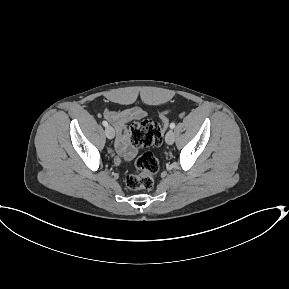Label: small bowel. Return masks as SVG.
<instances>
[{
    "label": "small bowel",
    "instance_id": "1",
    "mask_svg": "<svg viewBox=\"0 0 289 289\" xmlns=\"http://www.w3.org/2000/svg\"><path fill=\"white\" fill-rule=\"evenodd\" d=\"M145 116L146 112L140 107H131L121 111L106 110L104 113V117L113 124L117 132L116 152L125 159H131L136 154V149L129 144L128 124Z\"/></svg>",
    "mask_w": 289,
    "mask_h": 289
}]
</instances>
